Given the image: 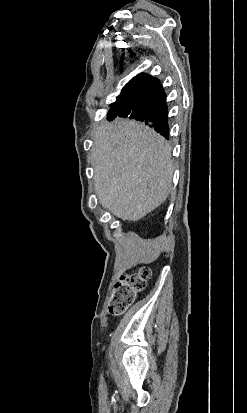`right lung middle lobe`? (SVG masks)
<instances>
[{"label":"right lung middle lobe","instance_id":"dd1d6c3e","mask_svg":"<svg viewBox=\"0 0 247 413\" xmlns=\"http://www.w3.org/2000/svg\"><path fill=\"white\" fill-rule=\"evenodd\" d=\"M135 96V88L133 87L132 84L128 83L125 85L118 96V99H134Z\"/></svg>","mask_w":247,"mask_h":413}]
</instances>
